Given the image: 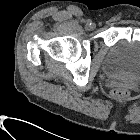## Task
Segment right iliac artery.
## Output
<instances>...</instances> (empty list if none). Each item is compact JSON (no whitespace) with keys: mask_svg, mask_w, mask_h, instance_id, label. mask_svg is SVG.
Returning a JSON list of instances; mask_svg holds the SVG:
<instances>
[{"mask_svg":"<svg viewBox=\"0 0 140 140\" xmlns=\"http://www.w3.org/2000/svg\"><path fill=\"white\" fill-rule=\"evenodd\" d=\"M91 23H92V22H91L90 20L87 21V24H88V25H91Z\"/></svg>","mask_w":140,"mask_h":140,"instance_id":"obj_1","label":"right iliac artery"}]
</instances>
